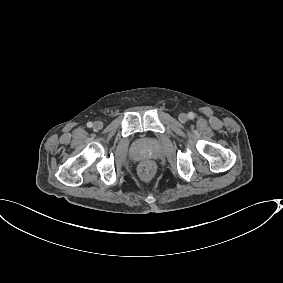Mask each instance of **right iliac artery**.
Here are the masks:
<instances>
[{"label":"right iliac artery","instance_id":"1","mask_svg":"<svg viewBox=\"0 0 283 283\" xmlns=\"http://www.w3.org/2000/svg\"><path fill=\"white\" fill-rule=\"evenodd\" d=\"M93 126V123L92 122H88L87 123V127L91 128Z\"/></svg>","mask_w":283,"mask_h":283}]
</instances>
